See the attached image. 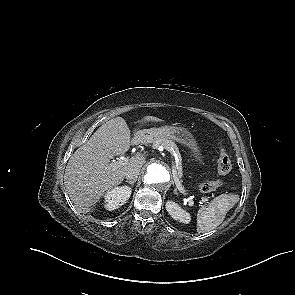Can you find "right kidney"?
I'll use <instances>...</instances> for the list:
<instances>
[{"mask_svg": "<svg viewBox=\"0 0 295 295\" xmlns=\"http://www.w3.org/2000/svg\"><path fill=\"white\" fill-rule=\"evenodd\" d=\"M131 188L127 186L115 187L105 196L106 209L111 211L124 205L131 195Z\"/></svg>", "mask_w": 295, "mask_h": 295, "instance_id": "obj_1", "label": "right kidney"}]
</instances>
